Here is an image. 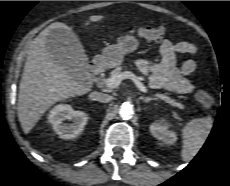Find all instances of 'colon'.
<instances>
[{"instance_id":"5ec220e1","label":"colon","mask_w":230,"mask_h":186,"mask_svg":"<svg viewBox=\"0 0 230 186\" xmlns=\"http://www.w3.org/2000/svg\"><path fill=\"white\" fill-rule=\"evenodd\" d=\"M127 33H137L143 40L148 42H160L164 39L166 31L161 26H147L141 27L137 30L128 29ZM196 100L203 107H211L214 103V97L206 90H199L196 92Z\"/></svg>"}]
</instances>
